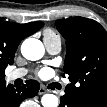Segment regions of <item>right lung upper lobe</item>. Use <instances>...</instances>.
<instances>
[{"label":"right lung upper lobe","instance_id":"1","mask_svg":"<svg viewBox=\"0 0 107 107\" xmlns=\"http://www.w3.org/2000/svg\"><path fill=\"white\" fill-rule=\"evenodd\" d=\"M43 25V22L17 24L0 20V82L5 80L6 67L13 64L21 40L38 31Z\"/></svg>","mask_w":107,"mask_h":107}]
</instances>
